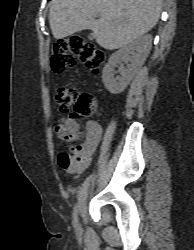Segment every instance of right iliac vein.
Segmentation results:
<instances>
[{"mask_svg": "<svg viewBox=\"0 0 194 250\" xmlns=\"http://www.w3.org/2000/svg\"><path fill=\"white\" fill-rule=\"evenodd\" d=\"M76 231L77 232L81 231V225H80L79 221H78L77 226H76Z\"/></svg>", "mask_w": 194, "mask_h": 250, "instance_id": "1", "label": "right iliac vein"}]
</instances>
